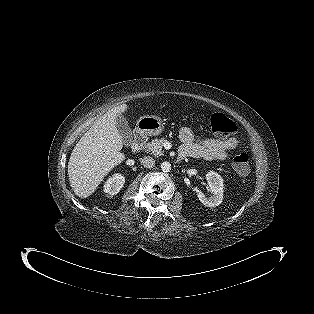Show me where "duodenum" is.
<instances>
[{
	"label": "duodenum",
	"mask_w": 314,
	"mask_h": 314,
	"mask_svg": "<svg viewBox=\"0 0 314 314\" xmlns=\"http://www.w3.org/2000/svg\"><path fill=\"white\" fill-rule=\"evenodd\" d=\"M145 142L146 135L141 131H137L134 135L132 150L135 152H139L144 147Z\"/></svg>",
	"instance_id": "1"
}]
</instances>
